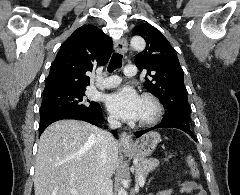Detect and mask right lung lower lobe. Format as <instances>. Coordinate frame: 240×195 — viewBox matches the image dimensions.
<instances>
[{
	"instance_id": "right-lung-lower-lobe-1",
	"label": "right lung lower lobe",
	"mask_w": 240,
	"mask_h": 195,
	"mask_svg": "<svg viewBox=\"0 0 240 195\" xmlns=\"http://www.w3.org/2000/svg\"><path fill=\"white\" fill-rule=\"evenodd\" d=\"M62 119H76L87 121L93 125L101 124L104 122L101 109L100 110H70V111H58L41 115L40 117V130L39 135L43 130L51 123ZM114 136H117L116 131L112 132Z\"/></svg>"
}]
</instances>
